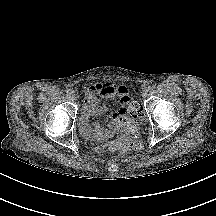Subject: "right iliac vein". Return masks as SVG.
Wrapping results in <instances>:
<instances>
[{
  "instance_id": "obj_1",
  "label": "right iliac vein",
  "mask_w": 216,
  "mask_h": 216,
  "mask_svg": "<svg viewBox=\"0 0 216 216\" xmlns=\"http://www.w3.org/2000/svg\"><path fill=\"white\" fill-rule=\"evenodd\" d=\"M70 96H71V98H72L73 100H77V99H78V94L75 93V92H72Z\"/></svg>"
}]
</instances>
